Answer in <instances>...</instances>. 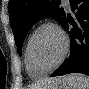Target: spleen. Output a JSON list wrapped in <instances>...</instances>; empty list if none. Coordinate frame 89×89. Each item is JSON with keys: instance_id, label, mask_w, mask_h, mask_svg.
Here are the masks:
<instances>
[{"instance_id": "1", "label": "spleen", "mask_w": 89, "mask_h": 89, "mask_svg": "<svg viewBox=\"0 0 89 89\" xmlns=\"http://www.w3.org/2000/svg\"><path fill=\"white\" fill-rule=\"evenodd\" d=\"M70 89H88L89 88V79L87 76L79 73L69 74L63 78Z\"/></svg>"}]
</instances>
